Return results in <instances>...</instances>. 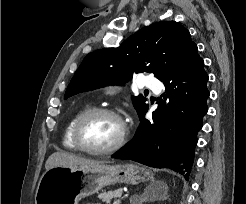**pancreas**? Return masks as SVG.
Masks as SVG:
<instances>
[{"mask_svg": "<svg viewBox=\"0 0 246 204\" xmlns=\"http://www.w3.org/2000/svg\"><path fill=\"white\" fill-rule=\"evenodd\" d=\"M122 189H118L115 191L103 192L98 195V198L104 202L110 203L113 199L120 198L122 195Z\"/></svg>", "mask_w": 246, "mask_h": 204, "instance_id": "pancreas-1", "label": "pancreas"}]
</instances>
